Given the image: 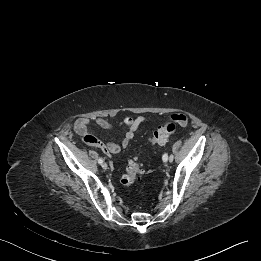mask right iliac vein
I'll return each instance as SVG.
<instances>
[{
	"label": "right iliac vein",
	"mask_w": 261,
	"mask_h": 261,
	"mask_svg": "<svg viewBox=\"0 0 261 261\" xmlns=\"http://www.w3.org/2000/svg\"><path fill=\"white\" fill-rule=\"evenodd\" d=\"M101 166H102V168L105 169V170L108 168V165H107L105 162L102 163Z\"/></svg>",
	"instance_id": "1"
}]
</instances>
